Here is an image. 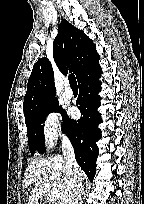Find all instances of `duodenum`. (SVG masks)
Listing matches in <instances>:
<instances>
[{
	"label": "duodenum",
	"mask_w": 144,
	"mask_h": 204,
	"mask_svg": "<svg viewBox=\"0 0 144 204\" xmlns=\"http://www.w3.org/2000/svg\"><path fill=\"white\" fill-rule=\"evenodd\" d=\"M36 204H48V203L44 200H38Z\"/></svg>",
	"instance_id": "1"
}]
</instances>
